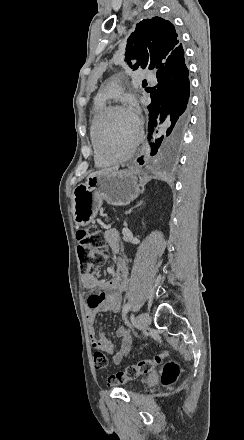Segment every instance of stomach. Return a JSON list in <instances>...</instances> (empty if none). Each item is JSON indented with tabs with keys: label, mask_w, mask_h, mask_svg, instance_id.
<instances>
[{
	"label": "stomach",
	"mask_w": 244,
	"mask_h": 440,
	"mask_svg": "<svg viewBox=\"0 0 244 440\" xmlns=\"http://www.w3.org/2000/svg\"><path fill=\"white\" fill-rule=\"evenodd\" d=\"M139 170H114L88 178L78 184L72 194V216L76 226H88L96 218L103 202L111 206H127L140 194Z\"/></svg>",
	"instance_id": "stomach-1"
}]
</instances>
